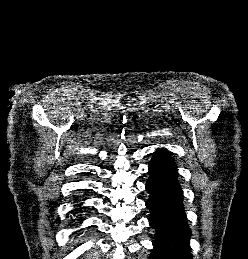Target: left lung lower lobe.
Instances as JSON below:
<instances>
[{
	"label": "left lung lower lobe",
	"mask_w": 248,
	"mask_h": 259,
	"mask_svg": "<svg viewBox=\"0 0 248 259\" xmlns=\"http://www.w3.org/2000/svg\"><path fill=\"white\" fill-rule=\"evenodd\" d=\"M146 190L150 198V225L156 229L155 248L150 259H192L191 231L182 204L183 193L177 180V165L166 150H157L149 163Z\"/></svg>",
	"instance_id": "1"
}]
</instances>
